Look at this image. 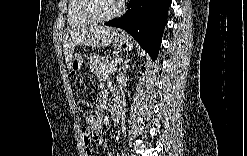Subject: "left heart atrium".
<instances>
[{"label": "left heart atrium", "mask_w": 247, "mask_h": 156, "mask_svg": "<svg viewBox=\"0 0 247 156\" xmlns=\"http://www.w3.org/2000/svg\"><path fill=\"white\" fill-rule=\"evenodd\" d=\"M118 4H122L123 3V0H118L116 1Z\"/></svg>", "instance_id": "left-heart-atrium-1"}]
</instances>
